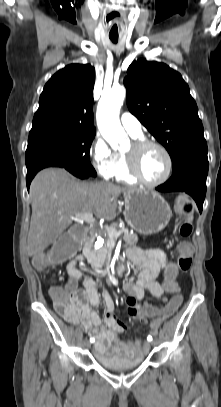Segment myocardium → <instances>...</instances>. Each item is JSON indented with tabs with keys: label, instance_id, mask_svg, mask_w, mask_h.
<instances>
[{
	"label": "myocardium",
	"instance_id": "obj_1",
	"mask_svg": "<svg viewBox=\"0 0 221 407\" xmlns=\"http://www.w3.org/2000/svg\"><path fill=\"white\" fill-rule=\"evenodd\" d=\"M150 148L159 149L165 155V157L167 159L166 174L164 175L163 178H161L160 180H156V181H151V180H148L147 178H145L144 175L141 173V170L139 167L140 155L144 151H146L147 149H150ZM124 155H125L129 174L135 180L139 181L142 184H145L148 186L162 185L170 179V177L173 173L174 164H173V158H172L170 152L168 151V149L165 146H163L162 144H160L156 141H152V140H148V139L135 140L132 143V150L130 152H126Z\"/></svg>",
	"mask_w": 221,
	"mask_h": 407
}]
</instances>
